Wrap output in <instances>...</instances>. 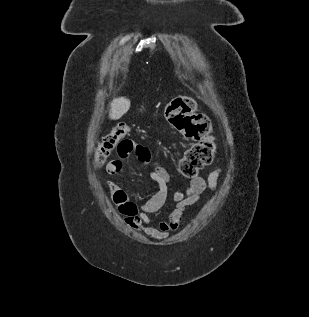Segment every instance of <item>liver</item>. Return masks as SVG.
<instances>
[{
	"instance_id": "1",
	"label": "liver",
	"mask_w": 309,
	"mask_h": 317,
	"mask_svg": "<svg viewBox=\"0 0 309 317\" xmlns=\"http://www.w3.org/2000/svg\"><path fill=\"white\" fill-rule=\"evenodd\" d=\"M130 100L125 97L115 98L111 102L109 118L117 120L121 118L130 108Z\"/></svg>"
}]
</instances>
